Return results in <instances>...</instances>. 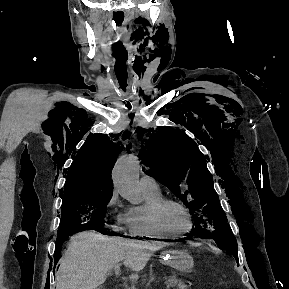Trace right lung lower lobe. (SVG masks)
<instances>
[{
    "mask_svg": "<svg viewBox=\"0 0 289 289\" xmlns=\"http://www.w3.org/2000/svg\"><path fill=\"white\" fill-rule=\"evenodd\" d=\"M111 233V232H110ZM111 235H114L113 233H111ZM67 239V238H66ZM64 238H57L56 240V248H55V254H54V258H55V263L58 262L59 260V257H60V254H61V251H60V248H61V245L63 243L64 240H66Z\"/></svg>",
    "mask_w": 289,
    "mask_h": 289,
    "instance_id": "obj_1",
    "label": "right lung lower lobe"
}]
</instances>
